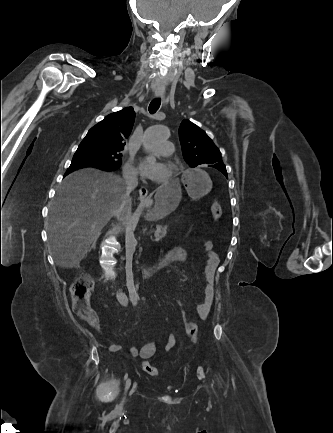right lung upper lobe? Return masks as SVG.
Wrapping results in <instances>:
<instances>
[{"instance_id":"right-lung-upper-lobe-1","label":"right lung upper lobe","mask_w":333,"mask_h":433,"mask_svg":"<svg viewBox=\"0 0 333 433\" xmlns=\"http://www.w3.org/2000/svg\"><path fill=\"white\" fill-rule=\"evenodd\" d=\"M134 119L133 107L111 113L92 127L83 141H91L102 148L123 149L125 139L131 133Z\"/></svg>"}]
</instances>
